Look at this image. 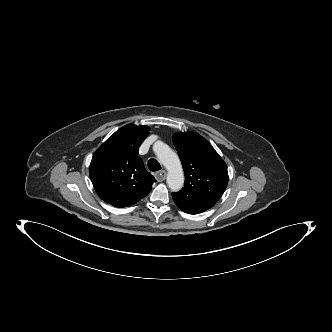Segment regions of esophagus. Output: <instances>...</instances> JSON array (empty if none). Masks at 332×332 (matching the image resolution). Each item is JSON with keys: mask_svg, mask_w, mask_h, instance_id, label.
Masks as SVG:
<instances>
[{"mask_svg": "<svg viewBox=\"0 0 332 332\" xmlns=\"http://www.w3.org/2000/svg\"><path fill=\"white\" fill-rule=\"evenodd\" d=\"M166 174H167L166 171H165V170H162V171L156 173V174H155V177H156L157 181L161 182V181H164V180H165V178H166Z\"/></svg>", "mask_w": 332, "mask_h": 332, "instance_id": "obj_1", "label": "esophagus"}]
</instances>
